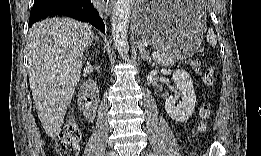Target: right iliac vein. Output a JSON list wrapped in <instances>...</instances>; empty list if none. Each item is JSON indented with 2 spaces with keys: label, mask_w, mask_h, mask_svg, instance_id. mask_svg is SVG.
<instances>
[{
  "label": "right iliac vein",
  "mask_w": 261,
  "mask_h": 156,
  "mask_svg": "<svg viewBox=\"0 0 261 156\" xmlns=\"http://www.w3.org/2000/svg\"><path fill=\"white\" fill-rule=\"evenodd\" d=\"M107 155L108 156H116V153H115V151L110 150Z\"/></svg>",
  "instance_id": "1"
}]
</instances>
